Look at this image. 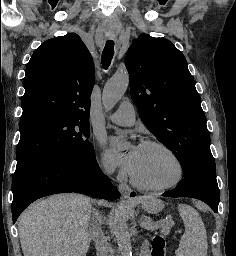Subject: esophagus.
I'll use <instances>...</instances> for the list:
<instances>
[{
  "instance_id": "1",
  "label": "esophagus",
  "mask_w": 236,
  "mask_h": 256,
  "mask_svg": "<svg viewBox=\"0 0 236 256\" xmlns=\"http://www.w3.org/2000/svg\"><path fill=\"white\" fill-rule=\"evenodd\" d=\"M119 191L121 193V195L128 199V200H134L138 195L136 193V191H133L128 184L125 183H120L119 186Z\"/></svg>"
}]
</instances>
